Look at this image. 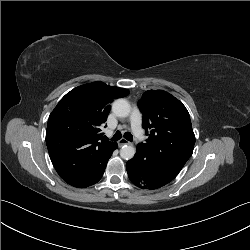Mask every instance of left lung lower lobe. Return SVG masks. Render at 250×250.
Returning <instances> with one entry per match:
<instances>
[{
  "instance_id": "left-lung-lower-lobe-1",
  "label": "left lung lower lobe",
  "mask_w": 250,
  "mask_h": 250,
  "mask_svg": "<svg viewBox=\"0 0 250 250\" xmlns=\"http://www.w3.org/2000/svg\"><path fill=\"white\" fill-rule=\"evenodd\" d=\"M131 182L142 189H157L172 181L180 168L167 162L153 161L148 153L136 147L135 156L126 163Z\"/></svg>"
}]
</instances>
